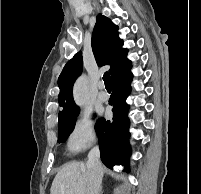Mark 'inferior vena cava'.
I'll use <instances>...</instances> for the list:
<instances>
[{
    "label": "inferior vena cava",
    "instance_id": "obj_1",
    "mask_svg": "<svg viewBox=\"0 0 201 194\" xmlns=\"http://www.w3.org/2000/svg\"><path fill=\"white\" fill-rule=\"evenodd\" d=\"M86 165L89 171L86 194H99L103 171L98 146H95L90 150Z\"/></svg>",
    "mask_w": 201,
    "mask_h": 194
}]
</instances>
